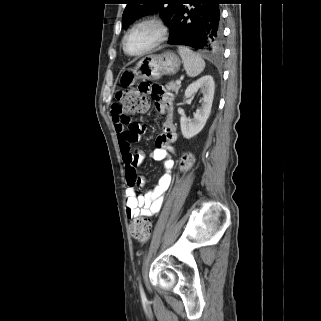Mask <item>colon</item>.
<instances>
[{"label": "colon", "mask_w": 321, "mask_h": 321, "mask_svg": "<svg viewBox=\"0 0 321 321\" xmlns=\"http://www.w3.org/2000/svg\"><path fill=\"white\" fill-rule=\"evenodd\" d=\"M119 104L117 105L120 112L126 116L130 114L142 113L149 107L150 98L147 96L146 91L141 93L137 89H128L120 91L116 95ZM193 163V157L190 154H185L181 158L180 167L182 170H187ZM128 186L131 188H138L142 185L143 180L138 174L137 170L130 172L128 179ZM130 230L132 236L139 241H146L150 238L152 232V225L148 219L136 218L131 222Z\"/></svg>", "instance_id": "1"}]
</instances>
